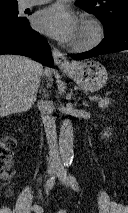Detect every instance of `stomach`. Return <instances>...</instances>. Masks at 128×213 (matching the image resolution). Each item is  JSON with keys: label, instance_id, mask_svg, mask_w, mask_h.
<instances>
[{"label": "stomach", "instance_id": "0dacf381", "mask_svg": "<svg viewBox=\"0 0 128 213\" xmlns=\"http://www.w3.org/2000/svg\"><path fill=\"white\" fill-rule=\"evenodd\" d=\"M65 73L72 77L81 88L91 92L100 90L108 79L106 68L100 62L92 60L77 63Z\"/></svg>", "mask_w": 128, "mask_h": 213}]
</instances>
